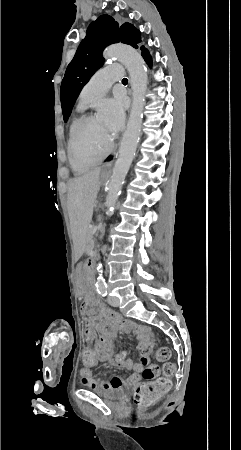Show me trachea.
<instances>
[{
  "label": "trachea",
  "instance_id": "obj_1",
  "mask_svg": "<svg viewBox=\"0 0 241 450\" xmlns=\"http://www.w3.org/2000/svg\"><path fill=\"white\" fill-rule=\"evenodd\" d=\"M128 80H127V78H123V80H122V82H127Z\"/></svg>",
  "mask_w": 241,
  "mask_h": 450
}]
</instances>
